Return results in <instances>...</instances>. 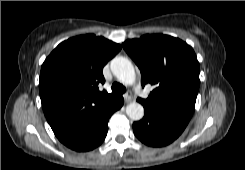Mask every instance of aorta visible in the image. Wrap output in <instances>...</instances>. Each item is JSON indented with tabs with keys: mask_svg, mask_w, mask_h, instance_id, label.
Returning a JSON list of instances; mask_svg holds the SVG:
<instances>
[{
	"mask_svg": "<svg viewBox=\"0 0 245 170\" xmlns=\"http://www.w3.org/2000/svg\"><path fill=\"white\" fill-rule=\"evenodd\" d=\"M113 75L124 85H132L135 82V70L131 61L125 57H115L111 61ZM126 114L134 121L144 116V108L138 102L129 103L126 107Z\"/></svg>",
	"mask_w": 245,
	"mask_h": 170,
	"instance_id": "obj_1",
	"label": "aorta"
}]
</instances>
